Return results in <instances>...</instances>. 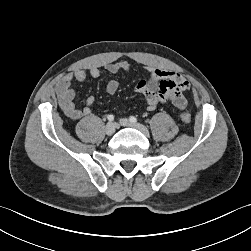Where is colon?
Wrapping results in <instances>:
<instances>
[{
  "label": "colon",
  "mask_w": 251,
  "mask_h": 251,
  "mask_svg": "<svg viewBox=\"0 0 251 251\" xmlns=\"http://www.w3.org/2000/svg\"><path fill=\"white\" fill-rule=\"evenodd\" d=\"M180 117H181V120L186 124H189L192 120L191 115L187 112L181 113Z\"/></svg>",
  "instance_id": "5ec220e1"
}]
</instances>
